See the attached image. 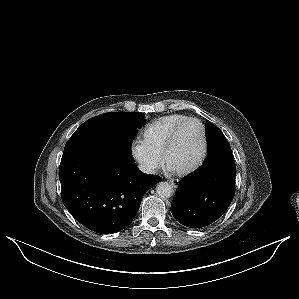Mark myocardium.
<instances>
[{"label":"myocardium","instance_id":"obj_1","mask_svg":"<svg viewBox=\"0 0 299 299\" xmlns=\"http://www.w3.org/2000/svg\"><path fill=\"white\" fill-rule=\"evenodd\" d=\"M195 123L199 126L200 132H201V147H200V153L198 155V158L196 161L189 167L182 169V170H176L172 168L168 163V155L170 150L173 148L175 140L179 134V132L186 127L189 124ZM206 147H207V139H206V131L203 123L197 119V118H190L181 125H179L170 135L165 148L162 153V161L163 164L166 166V168L172 172H174L178 176L187 175L193 171H195L203 162L205 154H206Z\"/></svg>","mask_w":299,"mask_h":299}]
</instances>
